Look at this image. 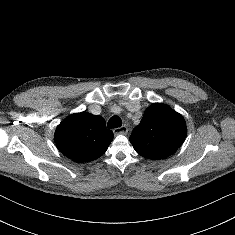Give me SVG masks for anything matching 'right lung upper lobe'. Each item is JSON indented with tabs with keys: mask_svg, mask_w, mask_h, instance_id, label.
<instances>
[{
	"mask_svg": "<svg viewBox=\"0 0 235 235\" xmlns=\"http://www.w3.org/2000/svg\"><path fill=\"white\" fill-rule=\"evenodd\" d=\"M54 140L62 154L75 162L84 163L106 152L113 133L106 128L101 116L81 112L68 116L57 126Z\"/></svg>",
	"mask_w": 235,
	"mask_h": 235,
	"instance_id": "right-lung-upper-lobe-1",
	"label": "right lung upper lobe"
}]
</instances>
